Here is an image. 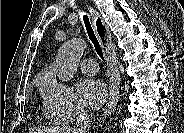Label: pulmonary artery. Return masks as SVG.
Here are the masks:
<instances>
[{
  "label": "pulmonary artery",
  "mask_w": 184,
  "mask_h": 133,
  "mask_svg": "<svg viewBox=\"0 0 184 133\" xmlns=\"http://www.w3.org/2000/svg\"><path fill=\"white\" fill-rule=\"evenodd\" d=\"M80 69L85 74L93 75L98 72V65L95 59L87 58L80 63Z\"/></svg>",
  "instance_id": "e3ab8cb5"
}]
</instances>
